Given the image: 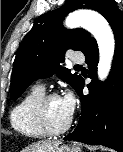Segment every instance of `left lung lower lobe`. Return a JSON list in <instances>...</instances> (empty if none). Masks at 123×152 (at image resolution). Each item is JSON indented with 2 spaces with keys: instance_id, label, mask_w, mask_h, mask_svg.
Instances as JSON below:
<instances>
[{
  "instance_id": "left-lung-lower-lobe-1",
  "label": "left lung lower lobe",
  "mask_w": 123,
  "mask_h": 152,
  "mask_svg": "<svg viewBox=\"0 0 123 152\" xmlns=\"http://www.w3.org/2000/svg\"><path fill=\"white\" fill-rule=\"evenodd\" d=\"M115 36V54L110 75L102 84L96 69L98 47L94 41L84 52L89 66L88 95H83L81 78L76 92L81 98V117L75 130L64 137L90 145H104L123 152V11L119 9L107 16Z\"/></svg>"
}]
</instances>
